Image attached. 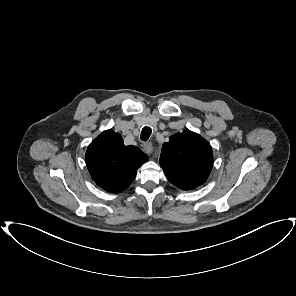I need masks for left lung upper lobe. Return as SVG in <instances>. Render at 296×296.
<instances>
[{
  "mask_svg": "<svg viewBox=\"0 0 296 296\" xmlns=\"http://www.w3.org/2000/svg\"><path fill=\"white\" fill-rule=\"evenodd\" d=\"M160 165L176 187L192 190L207 180L213 166V152L207 140L185 129L164 143Z\"/></svg>",
  "mask_w": 296,
  "mask_h": 296,
  "instance_id": "obj_1",
  "label": "left lung upper lobe"
}]
</instances>
